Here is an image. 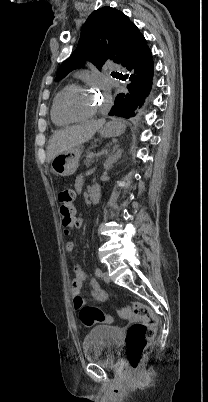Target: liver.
I'll use <instances>...</instances> for the list:
<instances>
[{"instance_id": "liver-1", "label": "liver", "mask_w": 208, "mask_h": 402, "mask_svg": "<svg viewBox=\"0 0 208 402\" xmlns=\"http://www.w3.org/2000/svg\"><path fill=\"white\" fill-rule=\"evenodd\" d=\"M103 124H105L104 118L87 122V124H79V126H69V128H63V130L55 132L54 136L49 140L47 162H51L55 156L66 152V150H71L74 146H80L83 142H88L95 132L102 128Z\"/></svg>"}]
</instances>
